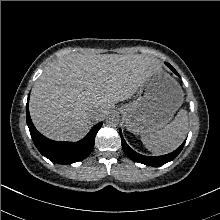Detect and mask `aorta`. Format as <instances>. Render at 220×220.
Wrapping results in <instances>:
<instances>
[{
    "instance_id": "762f6f07",
    "label": "aorta",
    "mask_w": 220,
    "mask_h": 220,
    "mask_svg": "<svg viewBox=\"0 0 220 220\" xmlns=\"http://www.w3.org/2000/svg\"><path fill=\"white\" fill-rule=\"evenodd\" d=\"M106 123L108 126L116 127L119 123V118L118 116L112 114L107 118Z\"/></svg>"
}]
</instances>
